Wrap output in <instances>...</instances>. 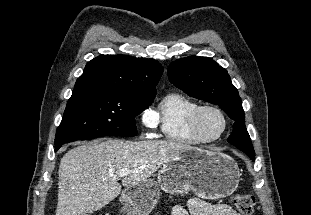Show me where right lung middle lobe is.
Masks as SVG:
<instances>
[{"label":"right lung middle lobe","mask_w":311,"mask_h":215,"mask_svg":"<svg viewBox=\"0 0 311 215\" xmlns=\"http://www.w3.org/2000/svg\"><path fill=\"white\" fill-rule=\"evenodd\" d=\"M155 96H140L97 88L74 89L57 129L56 146L108 135L136 136L135 116Z\"/></svg>","instance_id":"dd1d6c3e"}]
</instances>
